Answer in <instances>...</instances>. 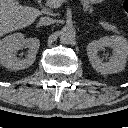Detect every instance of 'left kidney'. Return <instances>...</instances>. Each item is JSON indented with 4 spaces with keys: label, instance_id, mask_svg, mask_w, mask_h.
Returning a JSON list of instances; mask_svg holds the SVG:
<instances>
[{
    "label": "left kidney",
    "instance_id": "1",
    "mask_svg": "<svg viewBox=\"0 0 128 128\" xmlns=\"http://www.w3.org/2000/svg\"><path fill=\"white\" fill-rule=\"evenodd\" d=\"M105 47L113 50L108 62H103L98 55V51ZM87 54L92 67L97 72L101 74L117 73L125 68L128 56V41L122 36L103 37L88 44Z\"/></svg>",
    "mask_w": 128,
    "mask_h": 128
}]
</instances>
